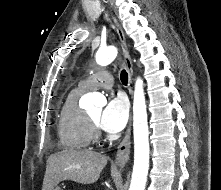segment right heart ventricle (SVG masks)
I'll list each match as a JSON object with an SVG mask.
<instances>
[{
  "label": "right heart ventricle",
  "mask_w": 221,
  "mask_h": 190,
  "mask_svg": "<svg viewBox=\"0 0 221 190\" xmlns=\"http://www.w3.org/2000/svg\"><path fill=\"white\" fill-rule=\"evenodd\" d=\"M86 90L80 85L66 96L58 121V135L62 146L69 150L85 149L92 139V132L86 112L78 100Z\"/></svg>",
  "instance_id": "obj_1"
}]
</instances>
